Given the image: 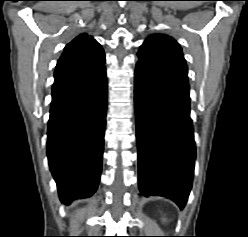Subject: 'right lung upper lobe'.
Returning <instances> with one entry per match:
<instances>
[{
	"instance_id": "obj_1",
	"label": "right lung upper lobe",
	"mask_w": 248,
	"mask_h": 237,
	"mask_svg": "<svg viewBox=\"0 0 248 237\" xmlns=\"http://www.w3.org/2000/svg\"><path fill=\"white\" fill-rule=\"evenodd\" d=\"M105 63L101 45L87 34H81L66 45L58 60L55 78L81 74Z\"/></svg>"
}]
</instances>
